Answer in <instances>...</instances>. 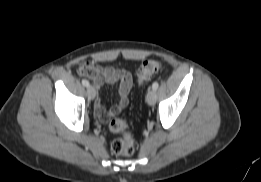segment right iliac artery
<instances>
[{"label":"right iliac artery","instance_id":"82829eb1","mask_svg":"<svg viewBox=\"0 0 261 182\" xmlns=\"http://www.w3.org/2000/svg\"><path fill=\"white\" fill-rule=\"evenodd\" d=\"M82 84L85 86V87H88L89 86V82L85 79L82 80Z\"/></svg>","mask_w":261,"mask_h":182}]
</instances>
